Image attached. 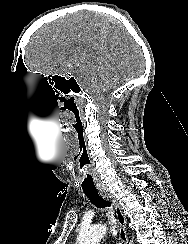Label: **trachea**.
<instances>
[{
  "instance_id": "3493384b",
  "label": "trachea",
  "mask_w": 188,
  "mask_h": 244,
  "mask_svg": "<svg viewBox=\"0 0 188 244\" xmlns=\"http://www.w3.org/2000/svg\"><path fill=\"white\" fill-rule=\"evenodd\" d=\"M89 177V175H88ZM81 185L85 195L89 198L90 202L98 208L111 207V203L102 198L96 188L95 180H81Z\"/></svg>"
}]
</instances>
